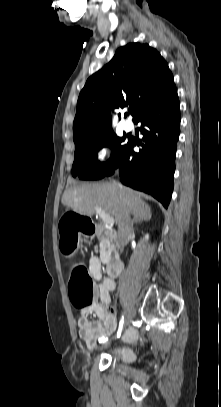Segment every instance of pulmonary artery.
<instances>
[{
  "label": "pulmonary artery",
  "instance_id": "e3ab8cb5",
  "mask_svg": "<svg viewBox=\"0 0 221 407\" xmlns=\"http://www.w3.org/2000/svg\"><path fill=\"white\" fill-rule=\"evenodd\" d=\"M123 128H124L125 131L129 132L134 128V125L130 120H127V121L124 122Z\"/></svg>",
  "mask_w": 221,
  "mask_h": 407
}]
</instances>
